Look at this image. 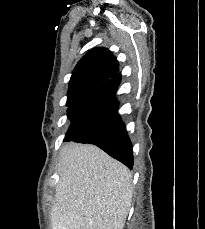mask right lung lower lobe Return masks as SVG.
I'll return each mask as SVG.
<instances>
[{"mask_svg":"<svg viewBox=\"0 0 205 229\" xmlns=\"http://www.w3.org/2000/svg\"><path fill=\"white\" fill-rule=\"evenodd\" d=\"M120 81L121 73H116L68 108L73 121L64 141L97 145L132 169V144L118 115L115 98Z\"/></svg>","mask_w":205,"mask_h":229,"instance_id":"obj_1","label":"right lung lower lobe"}]
</instances>
